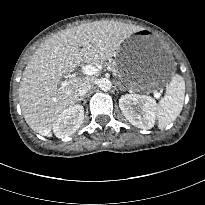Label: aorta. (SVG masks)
I'll return each instance as SVG.
<instances>
[{
	"label": "aorta",
	"mask_w": 205,
	"mask_h": 205,
	"mask_svg": "<svg viewBox=\"0 0 205 205\" xmlns=\"http://www.w3.org/2000/svg\"><path fill=\"white\" fill-rule=\"evenodd\" d=\"M98 87L103 91H108L112 87V82L107 78H101L98 80Z\"/></svg>",
	"instance_id": "obj_1"
}]
</instances>
